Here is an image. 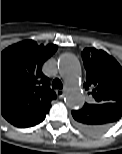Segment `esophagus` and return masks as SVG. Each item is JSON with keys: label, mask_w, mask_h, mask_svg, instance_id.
Masks as SVG:
<instances>
[{"label": "esophagus", "mask_w": 122, "mask_h": 154, "mask_svg": "<svg viewBox=\"0 0 122 154\" xmlns=\"http://www.w3.org/2000/svg\"><path fill=\"white\" fill-rule=\"evenodd\" d=\"M56 94L59 98H63L64 97V91L63 90H56Z\"/></svg>", "instance_id": "1"}]
</instances>
